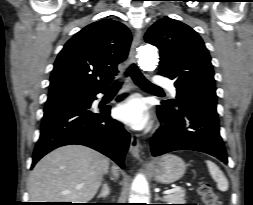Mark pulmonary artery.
<instances>
[{
	"instance_id": "pulmonary-artery-1",
	"label": "pulmonary artery",
	"mask_w": 253,
	"mask_h": 205,
	"mask_svg": "<svg viewBox=\"0 0 253 205\" xmlns=\"http://www.w3.org/2000/svg\"><path fill=\"white\" fill-rule=\"evenodd\" d=\"M156 83L160 86L165 87L173 97L176 96L177 91L172 81L168 79H157Z\"/></svg>"
}]
</instances>
